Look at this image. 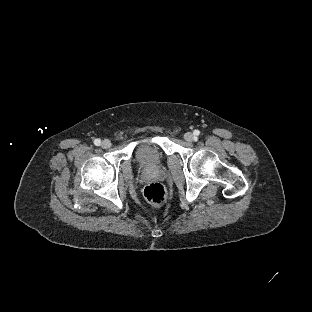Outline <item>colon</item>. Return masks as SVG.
I'll return each instance as SVG.
<instances>
[{"instance_id": "1", "label": "colon", "mask_w": 312, "mask_h": 312, "mask_svg": "<svg viewBox=\"0 0 312 312\" xmlns=\"http://www.w3.org/2000/svg\"><path fill=\"white\" fill-rule=\"evenodd\" d=\"M143 194L149 202L155 205L163 204L167 197L165 188L159 183H151L147 185L144 188Z\"/></svg>"}]
</instances>
